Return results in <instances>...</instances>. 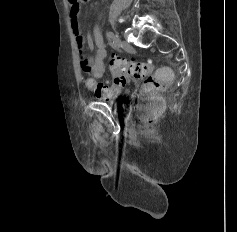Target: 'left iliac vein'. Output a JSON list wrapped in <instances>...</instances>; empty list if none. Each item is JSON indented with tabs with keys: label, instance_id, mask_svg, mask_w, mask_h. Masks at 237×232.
I'll return each instance as SVG.
<instances>
[{
	"label": "left iliac vein",
	"instance_id": "1",
	"mask_svg": "<svg viewBox=\"0 0 237 232\" xmlns=\"http://www.w3.org/2000/svg\"><path fill=\"white\" fill-rule=\"evenodd\" d=\"M117 39V38H116ZM118 40V39H117ZM122 48L126 51H129L132 49V46L127 41H122Z\"/></svg>",
	"mask_w": 237,
	"mask_h": 232
}]
</instances>
